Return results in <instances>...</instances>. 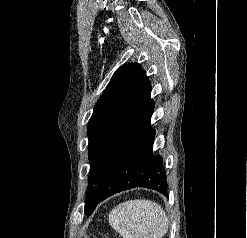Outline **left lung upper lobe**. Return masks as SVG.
Instances as JSON below:
<instances>
[{
  "instance_id": "obj_1",
  "label": "left lung upper lobe",
  "mask_w": 247,
  "mask_h": 238,
  "mask_svg": "<svg viewBox=\"0 0 247 238\" xmlns=\"http://www.w3.org/2000/svg\"><path fill=\"white\" fill-rule=\"evenodd\" d=\"M151 83L138 63L124 64L112 76L88 123L90 174L85 214L97 206L98 189L108 166L146 119L154 102Z\"/></svg>"
}]
</instances>
